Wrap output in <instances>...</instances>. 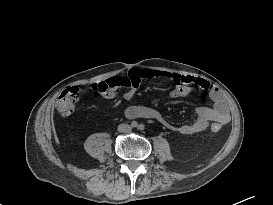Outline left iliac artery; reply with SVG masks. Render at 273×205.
I'll use <instances>...</instances> for the list:
<instances>
[{
	"mask_svg": "<svg viewBox=\"0 0 273 205\" xmlns=\"http://www.w3.org/2000/svg\"><path fill=\"white\" fill-rule=\"evenodd\" d=\"M138 128H139L140 130H144L145 126H144L143 124H140V125L138 126Z\"/></svg>",
	"mask_w": 273,
	"mask_h": 205,
	"instance_id": "obj_1",
	"label": "left iliac artery"
}]
</instances>
